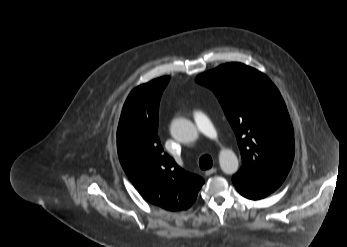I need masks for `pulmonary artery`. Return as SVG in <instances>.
Listing matches in <instances>:
<instances>
[{"mask_svg": "<svg viewBox=\"0 0 347 247\" xmlns=\"http://www.w3.org/2000/svg\"><path fill=\"white\" fill-rule=\"evenodd\" d=\"M194 121L198 130L206 137L216 140L218 138V133L209 117L201 112L195 111L193 114Z\"/></svg>", "mask_w": 347, "mask_h": 247, "instance_id": "pulmonary-artery-1", "label": "pulmonary artery"}]
</instances>
